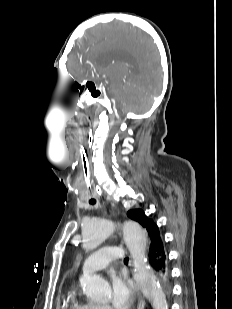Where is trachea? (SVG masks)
<instances>
[{"label": "trachea", "instance_id": "trachea-1", "mask_svg": "<svg viewBox=\"0 0 232 309\" xmlns=\"http://www.w3.org/2000/svg\"><path fill=\"white\" fill-rule=\"evenodd\" d=\"M77 146L81 157V167L84 184L87 192L92 196V174L88 152L82 144L78 143ZM89 203L94 205L96 204V200L91 197ZM124 261H128V258H125Z\"/></svg>", "mask_w": 232, "mask_h": 309}]
</instances>
